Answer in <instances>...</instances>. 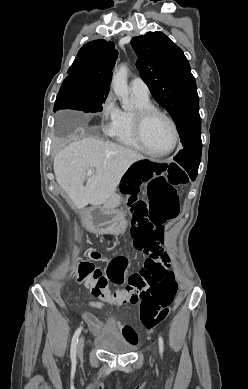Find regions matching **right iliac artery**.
<instances>
[{
	"label": "right iliac artery",
	"instance_id": "82829eb1",
	"mask_svg": "<svg viewBox=\"0 0 248 389\" xmlns=\"http://www.w3.org/2000/svg\"><path fill=\"white\" fill-rule=\"evenodd\" d=\"M81 330H82V327L78 328L74 335H73V338H72V342H71V360L72 362H75L76 360V349H77V343H78V337L81 333Z\"/></svg>",
	"mask_w": 248,
	"mask_h": 389
}]
</instances>
